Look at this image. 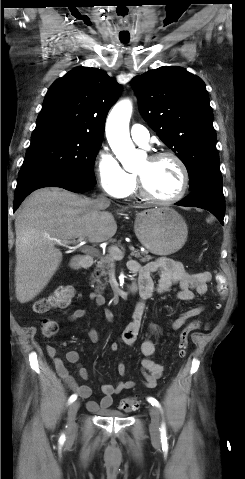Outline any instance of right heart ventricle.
I'll return each mask as SVG.
<instances>
[{"label":"right heart ventricle","mask_w":245,"mask_h":479,"mask_svg":"<svg viewBox=\"0 0 245 479\" xmlns=\"http://www.w3.org/2000/svg\"><path fill=\"white\" fill-rule=\"evenodd\" d=\"M128 180L129 184L127 189L125 190L123 197L132 196L137 194V187H136V176L133 173H128Z\"/></svg>","instance_id":"e07e8e85"}]
</instances>
